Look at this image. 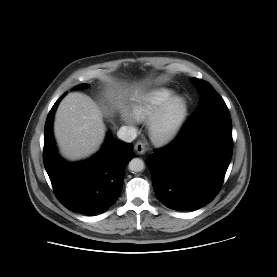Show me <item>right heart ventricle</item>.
I'll return each mask as SVG.
<instances>
[{
	"instance_id": "e07e8e85",
	"label": "right heart ventricle",
	"mask_w": 277,
	"mask_h": 277,
	"mask_svg": "<svg viewBox=\"0 0 277 277\" xmlns=\"http://www.w3.org/2000/svg\"><path fill=\"white\" fill-rule=\"evenodd\" d=\"M175 91L168 88H156L138 97L132 107V114L138 121L149 120L154 113L171 97Z\"/></svg>"
}]
</instances>
